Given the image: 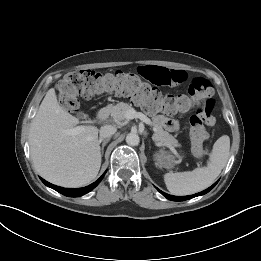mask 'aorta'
<instances>
[{
	"instance_id": "1",
	"label": "aorta",
	"mask_w": 261,
	"mask_h": 261,
	"mask_svg": "<svg viewBox=\"0 0 261 261\" xmlns=\"http://www.w3.org/2000/svg\"><path fill=\"white\" fill-rule=\"evenodd\" d=\"M126 143L130 146H137L140 143V138L136 133H129L126 136Z\"/></svg>"
}]
</instances>
